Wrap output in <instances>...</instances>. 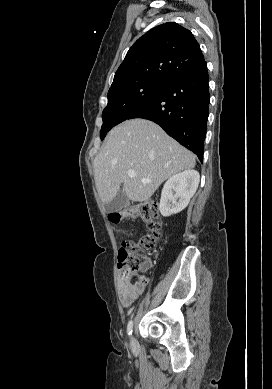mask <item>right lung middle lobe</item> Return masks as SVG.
Listing matches in <instances>:
<instances>
[{
	"instance_id": "dd1d6c3e",
	"label": "right lung middle lobe",
	"mask_w": 272,
	"mask_h": 389,
	"mask_svg": "<svg viewBox=\"0 0 272 389\" xmlns=\"http://www.w3.org/2000/svg\"><path fill=\"white\" fill-rule=\"evenodd\" d=\"M165 82L142 80L109 90L108 105L102 113L101 140L114 126L125 121L132 112L156 95Z\"/></svg>"
}]
</instances>
